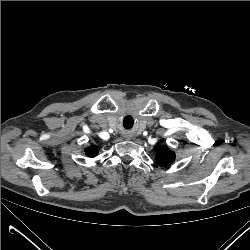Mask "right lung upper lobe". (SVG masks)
Masks as SVG:
<instances>
[{
	"label": "right lung upper lobe",
	"mask_w": 250,
	"mask_h": 250,
	"mask_svg": "<svg viewBox=\"0 0 250 250\" xmlns=\"http://www.w3.org/2000/svg\"><path fill=\"white\" fill-rule=\"evenodd\" d=\"M85 152L87 156L94 157L98 154V148L96 146H92L90 148H87Z\"/></svg>",
	"instance_id": "obj_1"
}]
</instances>
